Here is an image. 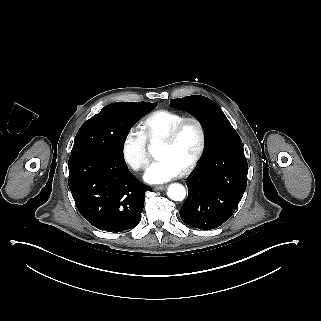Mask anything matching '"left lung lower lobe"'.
I'll use <instances>...</instances> for the list:
<instances>
[{
    "label": "left lung lower lobe",
    "mask_w": 321,
    "mask_h": 321,
    "mask_svg": "<svg viewBox=\"0 0 321 321\" xmlns=\"http://www.w3.org/2000/svg\"><path fill=\"white\" fill-rule=\"evenodd\" d=\"M248 164L241 139L227 140L203 156L188 180L180 217L193 228L210 230L236 210L247 185Z\"/></svg>",
    "instance_id": "1"
}]
</instances>
